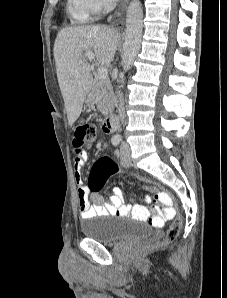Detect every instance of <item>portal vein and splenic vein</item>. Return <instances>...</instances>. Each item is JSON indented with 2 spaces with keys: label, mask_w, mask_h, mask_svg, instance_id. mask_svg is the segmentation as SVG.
<instances>
[{
  "label": "portal vein and splenic vein",
  "mask_w": 227,
  "mask_h": 298,
  "mask_svg": "<svg viewBox=\"0 0 227 298\" xmlns=\"http://www.w3.org/2000/svg\"><path fill=\"white\" fill-rule=\"evenodd\" d=\"M83 60H89V61L95 60V54L93 52H86L83 55ZM83 60H80L79 63H82ZM98 77L101 80L107 79L108 78V70H107V68L100 67L98 69Z\"/></svg>",
  "instance_id": "portal-vein-and-splenic-vein-1"
}]
</instances>
